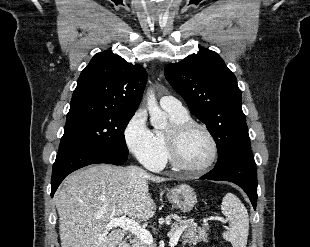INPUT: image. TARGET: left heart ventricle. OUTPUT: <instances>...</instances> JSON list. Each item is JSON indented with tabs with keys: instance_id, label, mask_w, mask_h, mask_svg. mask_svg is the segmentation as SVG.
<instances>
[{
	"instance_id": "b2bd125f",
	"label": "left heart ventricle",
	"mask_w": 310,
	"mask_h": 247,
	"mask_svg": "<svg viewBox=\"0 0 310 247\" xmlns=\"http://www.w3.org/2000/svg\"><path fill=\"white\" fill-rule=\"evenodd\" d=\"M183 162L190 167H200L212 155V147L208 137L200 130L186 134L180 144Z\"/></svg>"
}]
</instances>
